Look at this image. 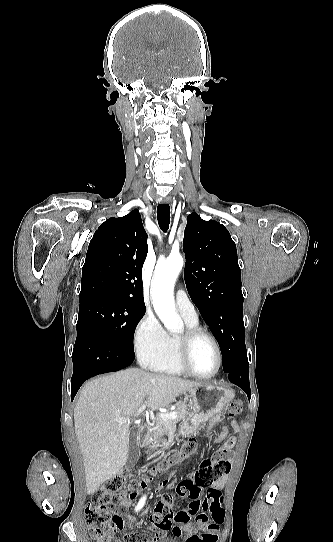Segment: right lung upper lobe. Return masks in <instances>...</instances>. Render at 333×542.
<instances>
[{"instance_id":"obj_1","label":"right lung upper lobe","mask_w":333,"mask_h":542,"mask_svg":"<svg viewBox=\"0 0 333 542\" xmlns=\"http://www.w3.org/2000/svg\"><path fill=\"white\" fill-rule=\"evenodd\" d=\"M147 252V234L137 209L106 220L87 250L80 305L100 299L145 308L141 272Z\"/></svg>"}]
</instances>
